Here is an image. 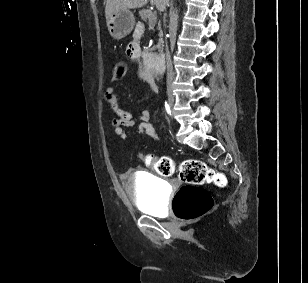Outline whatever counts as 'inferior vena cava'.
<instances>
[{"mask_svg": "<svg viewBox=\"0 0 308 283\" xmlns=\"http://www.w3.org/2000/svg\"><path fill=\"white\" fill-rule=\"evenodd\" d=\"M172 81H173V68H172L170 55L168 53V58H167V84L168 86L171 85Z\"/></svg>", "mask_w": 308, "mask_h": 283, "instance_id": "inferior-vena-cava-1", "label": "inferior vena cava"}]
</instances>
